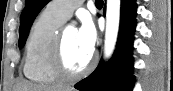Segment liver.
<instances>
[{
  "instance_id": "1",
  "label": "liver",
  "mask_w": 173,
  "mask_h": 91,
  "mask_svg": "<svg viewBox=\"0 0 173 91\" xmlns=\"http://www.w3.org/2000/svg\"><path fill=\"white\" fill-rule=\"evenodd\" d=\"M13 91H74L72 88L32 84L27 81L18 82Z\"/></svg>"
}]
</instances>
